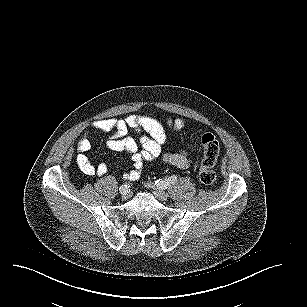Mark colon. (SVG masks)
<instances>
[{
    "label": "colon",
    "instance_id": "colon-1",
    "mask_svg": "<svg viewBox=\"0 0 307 307\" xmlns=\"http://www.w3.org/2000/svg\"><path fill=\"white\" fill-rule=\"evenodd\" d=\"M200 143L203 149V156L198 173L199 180L203 184L211 185L217 181L214 166L219 154V143L211 133L201 134Z\"/></svg>",
    "mask_w": 307,
    "mask_h": 307
}]
</instances>
